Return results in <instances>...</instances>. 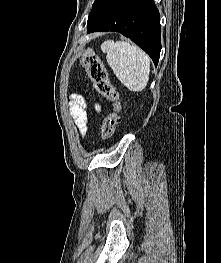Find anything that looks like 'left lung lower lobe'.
<instances>
[{"label": "left lung lower lobe", "mask_w": 221, "mask_h": 263, "mask_svg": "<svg viewBox=\"0 0 221 263\" xmlns=\"http://www.w3.org/2000/svg\"><path fill=\"white\" fill-rule=\"evenodd\" d=\"M87 31L120 32L142 48L155 66L158 64L160 14L153 0H101L89 14Z\"/></svg>", "instance_id": "0a47b994"}]
</instances>
